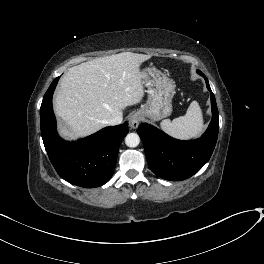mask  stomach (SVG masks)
Masks as SVG:
<instances>
[{"label": "stomach", "instance_id": "1", "mask_svg": "<svg viewBox=\"0 0 264 264\" xmlns=\"http://www.w3.org/2000/svg\"><path fill=\"white\" fill-rule=\"evenodd\" d=\"M142 82L147 87L148 99L138 112L152 121L170 116L175 94L173 81L160 70L149 67L142 71Z\"/></svg>", "mask_w": 264, "mask_h": 264}]
</instances>
